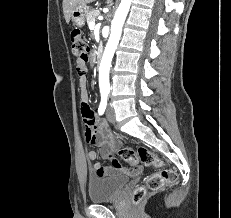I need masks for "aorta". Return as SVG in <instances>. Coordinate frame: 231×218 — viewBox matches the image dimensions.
Instances as JSON below:
<instances>
[{"mask_svg": "<svg viewBox=\"0 0 231 218\" xmlns=\"http://www.w3.org/2000/svg\"><path fill=\"white\" fill-rule=\"evenodd\" d=\"M132 0H121L111 24V33L99 67V87L101 91L110 89L109 71L114 52L119 43L122 27L129 12Z\"/></svg>", "mask_w": 231, "mask_h": 218, "instance_id": "762f6f07", "label": "aorta"}]
</instances>
